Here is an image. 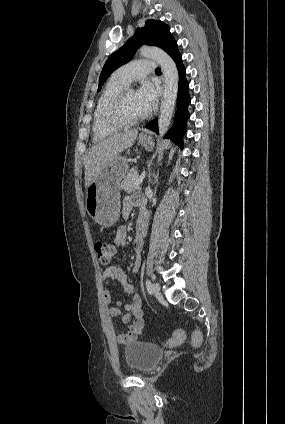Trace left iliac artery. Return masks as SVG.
<instances>
[{"label": "left iliac artery", "instance_id": "1", "mask_svg": "<svg viewBox=\"0 0 285 424\" xmlns=\"http://www.w3.org/2000/svg\"><path fill=\"white\" fill-rule=\"evenodd\" d=\"M146 288H147L149 294H151L152 293V285H151V281L148 280V279L146 280Z\"/></svg>", "mask_w": 285, "mask_h": 424}]
</instances>
